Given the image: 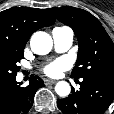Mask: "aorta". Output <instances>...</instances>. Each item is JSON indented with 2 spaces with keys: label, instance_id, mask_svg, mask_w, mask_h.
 <instances>
[{
  "label": "aorta",
  "instance_id": "aorta-1",
  "mask_svg": "<svg viewBox=\"0 0 114 114\" xmlns=\"http://www.w3.org/2000/svg\"><path fill=\"white\" fill-rule=\"evenodd\" d=\"M53 41L49 34L43 31L36 32L32 35L30 46L32 51L38 55H45L52 49ZM56 93L61 97H66L70 94L71 87L68 82L60 81L55 86Z\"/></svg>",
  "mask_w": 114,
  "mask_h": 114
}]
</instances>
